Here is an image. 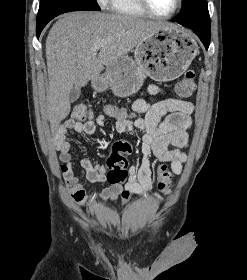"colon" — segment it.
Segmentation results:
<instances>
[{
    "label": "colon",
    "instance_id": "1",
    "mask_svg": "<svg viewBox=\"0 0 247 280\" xmlns=\"http://www.w3.org/2000/svg\"><path fill=\"white\" fill-rule=\"evenodd\" d=\"M195 74L189 70L185 73L176 87L177 94L181 97H189L195 91ZM107 112L114 117L130 118L129 114L124 109H119L114 106L107 108ZM72 117L76 121H85L92 117L90 106L86 103H79L74 106ZM132 154V145L118 141L113 146V153L106 161L108 189L110 191H118L123 187L124 181L128 178V161L126 155ZM170 172L166 165H161L158 168V189L162 192H168L170 183Z\"/></svg>",
    "mask_w": 247,
    "mask_h": 280
}]
</instances>
